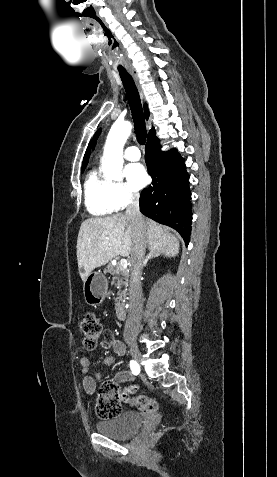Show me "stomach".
<instances>
[{
	"instance_id": "0dacf381",
	"label": "stomach",
	"mask_w": 277,
	"mask_h": 477,
	"mask_svg": "<svg viewBox=\"0 0 277 477\" xmlns=\"http://www.w3.org/2000/svg\"><path fill=\"white\" fill-rule=\"evenodd\" d=\"M108 290V281L100 272H91L83 283L85 303L97 306L103 302Z\"/></svg>"
}]
</instances>
